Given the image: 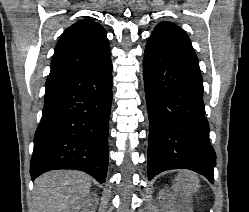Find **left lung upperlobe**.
<instances>
[{"label":"left lung upper lobe","mask_w":249,"mask_h":212,"mask_svg":"<svg viewBox=\"0 0 249 212\" xmlns=\"http://www.w3.org/2000/svg\"><path fill=\"white\" fill-rule=\"evenodd\" d=\"M151 46H159L175 55L198 62L188 35L173 23L162 22L155 27L146 48Z\"/></svg>","instance_id":"1"}]
</instances>
